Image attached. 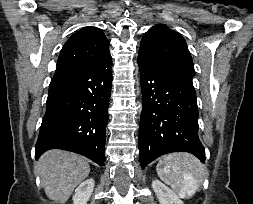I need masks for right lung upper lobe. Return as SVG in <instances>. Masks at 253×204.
Returning a JSON list of instances; mask_svg holds the SVG:
<instances>
[{"label":"right lung upper lobe","instance_id":"1","mask_svg":"<svg viewBox=\"0 0 253 204\" xmlns=\"http://www.w3.org/2000/svg\"><path fill=\"white\" fill-rule=\"evenodd\" d=\"M110 56L109 41L97 27H84L64 44L53 79L95 65Z\"/></svg>","mask_w":253,"mask_h":204}]
</instances>
